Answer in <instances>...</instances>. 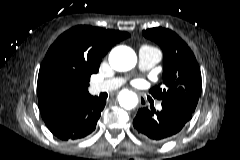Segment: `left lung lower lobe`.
I'll list each match as a JSON object with an SVG mask.
<instances>
[{"label": "left lung lower lobe", "instance_id": "0a47b994", "mask_svg": "<svg viewBox=\"0 0 240 160\" xmlns=\"http://www.w3.org/2000/svg\"><path fill=\"white\" fill-rule=\"evenodd\" d=\"M191 118L192 113L162 103L161 111L147 107L139 109L133 126L141 138L152 143H162L173 138Z\"/></svg>", "mask_w": 240, "mask_h": 160}]
</instances>
